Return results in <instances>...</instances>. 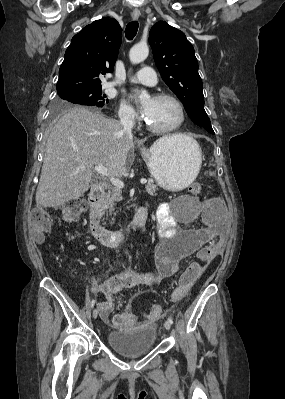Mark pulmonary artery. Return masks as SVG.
<instances>
[{
    "instance_id": "1",
    "label": "pulmonary artery",
    "mask_w": 285,
    "mask_h": 399,
    "mask_svg": "<svg viewBox=\"0 0 285 399\" xmlns=\"http://www.w3.org/2000/svg\"><path fill=\"white\" fill-rule=\"evenodd\" d=\"M129 82L153 86L156 84L157 78L151 68L143 67L133 77L130 78ZM116 84L117 82L114 81L108 82V86H114Z\"/></svg>"
}]
</instances>
